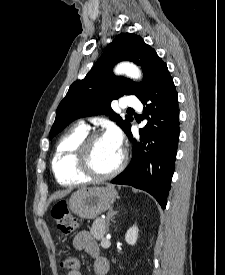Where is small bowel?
I'll return each mask as SVG.
<instances>
[{
	"label": "small bowel",
	"instance_id": "c3829d8e",
	"mask_svg": "<svg viewBox=\"0 0 225 275\" xmlns=\"http://www.w3.org/2000/svg\"><path fill=\"white\" fill-rule=\"evenodd\" d=\"M73 247L78 251H84L93 258V272L95 275H106L108 262L99 255V248L93 237L87 231L78 232L73 239ZM67 275H81L79 271L68 272Z\"/></svg>",
	"mask_w": 225,
	"mask_h": 275
}]
</instances>
